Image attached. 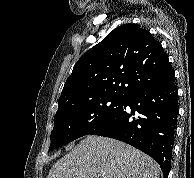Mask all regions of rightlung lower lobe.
I'll use <instances>...</instances> for the list:
<instances>
[{
	"label": "right lung lower lobe",
	"instance_id": "obj_1",
	"mask_svg": "<svg viewBox=\"0 0 194 178\" xmlns=\"http://www.w3.org/2000/svg\"><path fill=\"white\" fill-rule=\"evenodd\" d=\"M177 97L173 74L163 82L132 93L118 112L89 134L114 138L136 147L157 161L164 178H168L179 112Z\"/></svg>",
	"mask_w": 194,
	"mask_h": 178
}]
</instances>
